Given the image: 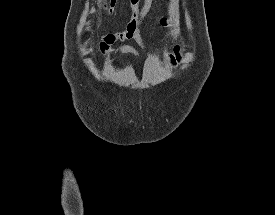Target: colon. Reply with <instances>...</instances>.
<instances>
[{"label":"colon","mask_w":275,"mask_h":215,"mask_svg":"<svg viewBox=\"0 0 275 215\" xmlns=\"http://www.w3.org/2000/svg\"><path fill=\"white\" fill-rule=\"evenodd\" d=\"M110 7L115 6L118 0H108ZM135 0H133L134 2ZM184 54L179 46H176L173 51L167 53L164 56V61L170 65V67H177L183 62Z\"/></svg>","instance_id":"colon-1"}]
</instances>
